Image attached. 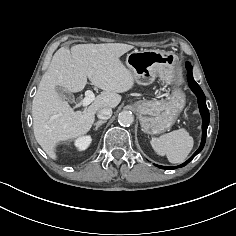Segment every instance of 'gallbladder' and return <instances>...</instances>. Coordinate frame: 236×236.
I'll use <instances>...</instances> for the list:
<instances>
[{"instance_id":"gallbladder-1","label":"gallbladder","mask_w":236,"mask_h":236,"mask_svg":"<svg viewBox=\"0 0 236 236\" xmlns=\"http://www.w3.org/2000/svg\"><path fill=\"white\" fill-rule=\"evenodd\" d=\"M57 91L60 96L68 102L73 103L75 101L74 95L71 92L66 91L64 88L58 86Z\"/></svg>"}]
</instances>
